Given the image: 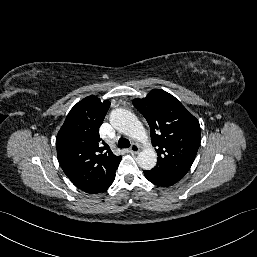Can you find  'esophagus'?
<instances>
[{
	"label": "esophagus",
	"instance_id": "esophagus-1",
	"mask_svg": "<svg viewBox=\"0 0 257 257\" xmlns=\"http://www.w3.org/2000/svg\"><path fill=\"white\" fill-rule=\"evenodd\" d=\"M140 150V147L137 144H132L130 147L131 154H137Z\"/></svg>",
	"mask_w": 257,
	"mask_h": 257
}]
</instances>
